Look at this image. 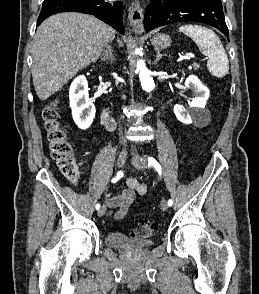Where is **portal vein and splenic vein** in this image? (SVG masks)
Segmentation results:
<instances>
[{
  "mask_svg": "<svg viewBox=\"0 0 259 294\" xmlns=\"http://www.w3.org/2000/svg\"><path fill=\"white\" fill-rule=\"evenodd\" d=\"M195 56H194V54H192V53H187L186 55H185V58H187V59H192V58H194Z\"/></svg>",
  "mask_w": 259,
  "mask_h": 294,
  "instance_id": "1",
  "label": "portal vein and splenic vein"
}]
</instances>
